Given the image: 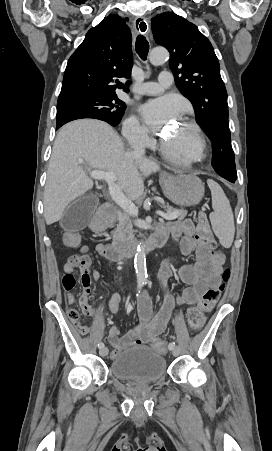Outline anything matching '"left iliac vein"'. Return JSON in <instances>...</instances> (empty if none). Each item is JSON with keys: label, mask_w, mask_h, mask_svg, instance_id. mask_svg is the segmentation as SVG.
I'll use <instances>...</instances> for the list:
<instances>
[{"label": "left iliac vein", "mask_w": 272, "mask_h": 451, "mask_svg": "<svg viewBox=\"0 0 272 451\" xmlns=\"http://www.w3.org/2000/svg\"><path fill=\"white\" fill-rule=\"evenodd\" d=\"M179 353H180L179 348H178V347H175L174 350H173V352H172L173 356H178Z\"/></svg>", "instance_id": "4c4485c4"}]
</instances>
